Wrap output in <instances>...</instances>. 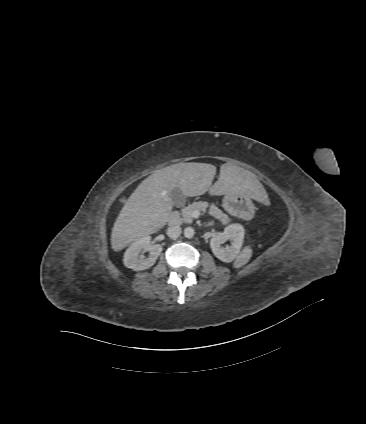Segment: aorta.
Masks as SVG:
<instances>
[{"label":"aorta","instance_id":"obj_1","mask_svg":"<svg viewBox=\"0 0 366 424\" xmlns=\"http://www.w3.org/2000/svg\"><path fill=\"white\" fill-rule=\"evenodd\" d=\"M194 234H195L194 228H192V227H186L184 229V236L186 238H192L194 236Z\"/></svg>","mask_w":366,"mask_h":424}]
</instances>
